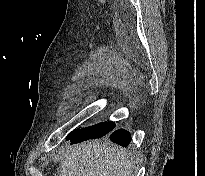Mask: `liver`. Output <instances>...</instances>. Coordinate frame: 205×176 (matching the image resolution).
<instances>
[{
	"label": "liver",
	"instance_id": "1",
	"mask_svg": "<svg viewBox=\"0 0 205 176\" xmlns=\"http://www.w3.org/2000/svg\"><path fill=\"white\" fill-rule=\"evenodd\" d=\"M59 176H133V167L123 149L89 141L69 148Z\"/></svg>",
	"mask_w": 205,
	"mask_h": 176
}]
</instances>
